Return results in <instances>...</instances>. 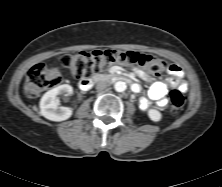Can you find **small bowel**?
<instances>
[{
	"label": "small bowel",
	"mask_w": 222,
	"mask_h": 187,
	"mask_svg": "<svg viewBox=\"0 0 222 187\" xmlns=\"http://www.w3.org/2000/svg\"><path fill=\"white\" fill-rule=\"evenodd\" d=\"M136 72L141 78L151 82V85H150L148 92H147V96L143 97L140 100L141 108L148 109L151 106L152 102H155L157 104V106H159V107H165L167 104V99H166V94L168 91L167 84L164 82H161V81H154L153 78L149 77L148 75H146L144 72H142L140 70H138ZM168 72L174 77H182L183 76L182 68L176 64L169 65ZM169 83L174 86L179 87L182 90L187 89V84L183 81H177V80L170 79Z\"/></svg>",
	"instance_id": "small-bowel-1"
}]
</instances>
